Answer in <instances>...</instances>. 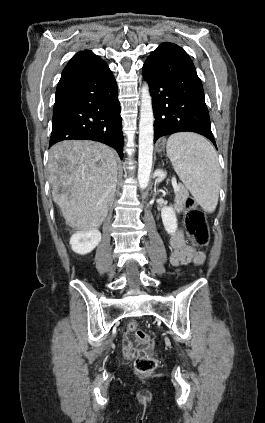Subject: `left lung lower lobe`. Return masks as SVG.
Wrapping results in <instances>:
<instances>
[{
  "mask_svg": "<svg viewBox=\"0 0 265 423\" xmlns=\"http://www.w3.org/2000/svg\"><path fill=\"white\" fill-rule=\"evenodd\" d=\"M143 76L152 96L154 142L165 135L189 131L207 137L217 148L201 80L181 47L162 43L147 58Z\"/></svg>",
  "mask_w": 265,
  "mask_h": 423,
  "instance_id": "left-lung-lower-lobe-1",
  "label": "left lung lower lobe"
}]
</instances>
